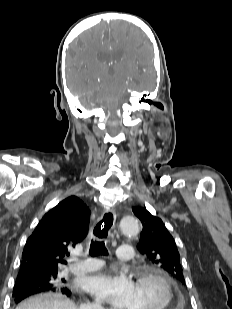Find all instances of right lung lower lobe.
Listing matches in <instances>:
<instances>
[{"mask_svg": "<svg viewBox=\"0 0 232 309\" xmlns=\"http://www.w3.org/2000/svg\"><path fill=\"white\" fill-rule=\"evenodd\" d=\"M24 271V270H22ZM28 272V271H26ZM60 291L62 294L67 295L68 297L71 296V291L68 289L66 285L60 286V287H44L38 285L37 282L33 281H22V280H17L14 288H13V297L14 301L16 303L20 302L21 300L37 294L41 292H46V291Z\"/></svg>", "mask_w": 232, "mask_h": 309, "instance_id": "right-lung-lower-lobe-1", "label": "right lung lower lobe"}]
</instances>
